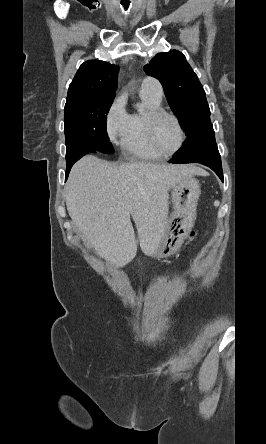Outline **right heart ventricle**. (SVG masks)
Returning <instances> with one entry per match:
<instances>
[{
  "mask_svg": "<svg viewBox=\"0 0 266 444\" xmlns=\"http://www.w3.org/2000/svg\"><path fill=\"white\" fill-rule=\"evenodd\" d=\"M141 97L148 111L128 116L126 128L121 139L122 151L126 156L136 160H160L163 156L155 152L148 142L145 120L149 111L161 108V101H157L144 94H141Z\"/></svg>",
  "mask_w": 266,
  "mask_h": 444,
  "instance_id": "e07e8e85",
  "label": "right heart ventricle"
}]
</instances>
